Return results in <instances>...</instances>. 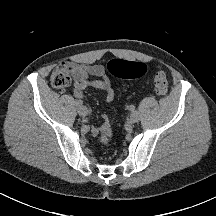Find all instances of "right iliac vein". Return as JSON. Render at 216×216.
Returning <instances> with one entry per match:
<instances>
[{
    "label": "right iliac vein",
    "instance_id": "right-iliac-vein-1",
    "mask_svg": "<svg viewBox=\"0 0 216 216\" xmlns=\"http://www.w3.org/2000/svg\"><path fill=\"white\" fill-rule=\"evenodd\" d=\"M78 114L82 117H85L88 114V110L85 106H80L78 108Z\"/></svg>",
    "mask_w": 216,
    "mask_h": 216
}]
</instances>
